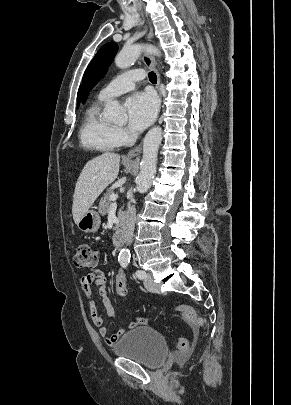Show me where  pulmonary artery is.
I'll list each match as a JSON object with an SVG mask.
<instances>
[{"instance_id": "obj_1", "label": "pulmonary artery", "mask_w": 291, "mask_h": 405, "mask_svg": "<svg viewBox=\"0 0 291 405\" xmlns=\"http://www.w3.org/2000/svg\"><path fill=\"white\" fill-rule=\"evenodd\" d=\"M143 78L144 74L141 70L124 72L103 87L98 94V98L101 100H108L126 93L134 89L136 82L142 80Z\"/></svg>"}]
</instances>
